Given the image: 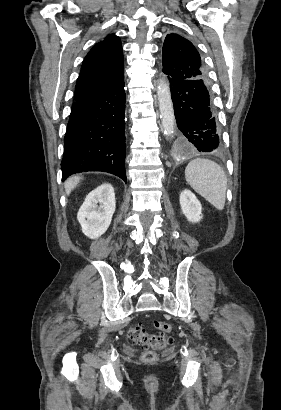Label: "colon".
Returning <instances> with one entry per match:
<instances>
[{"label":"colon","instance_id":"5ec220e1","mask_svg":"<svg viewBox=\"0 0 281 410\" xmlns=\"http://www.w3.org/2000/svg\"><path fill=\"white\" fill-rule=\"evenodd\" d=\"M153 326L160 330V334H149L142 325H133L129 328L128 337L136 344L144 347L141 359L144 362L156 360V350H162L173 343V338L168 335L172 331V325L167 322L155 320Z\"/></svg>","mask_w":281,"mask_h":410}]
</instances>
